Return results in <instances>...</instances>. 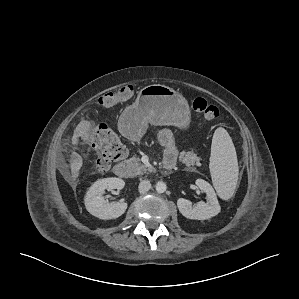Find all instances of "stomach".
<instances>
[{
	"label": "stomach",
	"instance_id": "1",
	"mask_svg": "<svg viewBox=\"0 0 299 299\" xmlns=\"http://www.w3.org/2000/svg\"><path fill=\"white\" fill-rule=\"evenodd\" d=\"M123 131L130 137H139L152 125H172L187 129L191 112L185 97L161 84L142 88L135 102L126 107L120 118Z\"/></svg>",
	"mask_w": 299,
	"mask_h": 299
}]
</instances>
